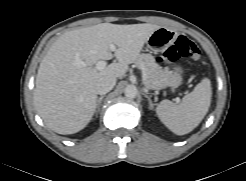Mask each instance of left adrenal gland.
Segmentation results:
<instances>
[{
    "instance_id": "a2214340",
    "label": "left adrenal gland",
    "mask_w": 246,
    "mask_h": 181,
    "mask_svg": "<svg viewBox=\"0 0 246 181\" xmlns=\"http://www.w3.org/2000/svg\"><path fill=\"white\" fill-rule=\"evenodd\" d=\"M144 96L148 99L149 102V108L153 109L154 108V104L152 103L151 98L145 93Z\"/></svg>"
}]
</instances>
